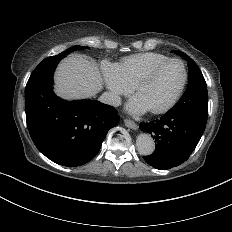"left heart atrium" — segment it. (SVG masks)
<instances>
[{"instance_id": "1", "label": "left heart atrium", "mask_w": 232, "mask_h": 232, "mask_svg": "<svg viewBox=\"0 0 232 232\" xmlns=\"http://www.w3.org/2000/svg\"><path fill=\"white\" fill-rule=\"evenodd\" d=\"M126 110L129 113L135 114V115L144 114L150 111L147 105H145L143 101L137 95L132 97V99L126 106Z\"/></svg>"}]
</instances>
